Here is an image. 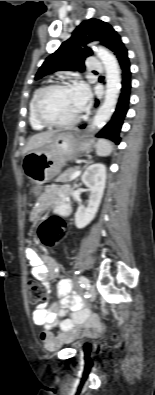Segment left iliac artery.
Masks as SVG:
<instances>
[{"label": "left iliac artery", "mask_w": 155, "mask_h": 395, "mask_svg": "<svg viewBox=\"0 0 155 395\" xmlns=\"http://www.w3.org/2000/svg\"><path fill=\"white\" fill-rule=\"evenodd\" d=\"M79 283L82 288H89V280L85 276L79 277Z\"/></svg>", "instance_id": "obj_1"}]
</instances>
